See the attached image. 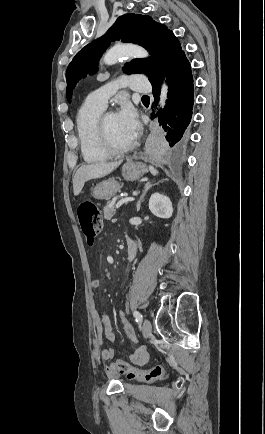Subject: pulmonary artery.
<instances>
[{
	"mask_svg": "<svg viewBox=\"0 0 265 434\" xmlns=\"http://www.w3.org/2000/svg\"><path fill=\"white\" fill-rule=\"evenodd\" d=\"M128 77L120 75L110 81H106L104 87H96L95 91L88 92L90 103H101L106 105L107 98L115 95V90L121 88L122 85H128ZM148 75H131V84H148ZM122 84V85H121Z\"/></svg>",
	"mask_w": 265,
	"mask_h": 434,
	"instance_id": "e3ab8cb5",
	"label": "pulmonary artery"
}]
</instances>
